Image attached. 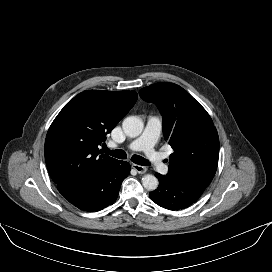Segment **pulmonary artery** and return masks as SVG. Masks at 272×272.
<instances>
[{"label": "pulmonary artery", "mask_w": 272, "mask_h": 272, "mask_svg": "<svg viewBox=\"0 0 272 272\" xmlns=\"http://www.w3.org/2000/svg\"><path fill=\"white\" fill-rule=\"evenodd\" d=\"M162 130V119L159 116H150L142 135L131 142L128 148L133 151H143L149 162L160 172H166L167 166L162 155L155 150V145Z\"/></svg>", "instance_id": "obj_1"}]
</instances>
